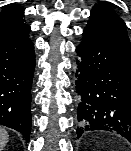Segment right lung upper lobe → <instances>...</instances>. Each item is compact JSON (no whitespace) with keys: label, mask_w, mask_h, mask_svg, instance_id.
Instances as JSON below:
<instances>
[{"label":"right lung upper lobe","mask_w":131,"mask_h":151,"mask_svg":"<svg viewBox=\"0 0 131 151\" xmlns=\"http://www.w3.org/2000/svg\"><path fill=\"white\" fill-rule=\"evenodd\" d=\"M24 10L20 6H10L0 13V35L19 34L30 29L24 20Z\"/></svg>","instance_id":"cb5924a9"}]
</instances>
